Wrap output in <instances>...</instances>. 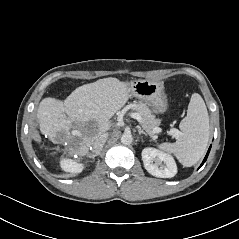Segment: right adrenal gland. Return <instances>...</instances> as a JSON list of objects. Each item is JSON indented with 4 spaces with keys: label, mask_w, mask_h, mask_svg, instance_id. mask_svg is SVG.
Instances as JSON below:
<instances>
[{
    "label": "right adrenal gland",
    "mask_w": 239,
    "mask_h": 239,
    "mask_svg": "<svg viewBox=\"0 0 239 239\" xmlns=\"http://www.w3.org/2000/svg\"><path fill=\"white\" fill-rule=\"evenodd\" d=\"M95 156H96V155H92V156H91V155H89V157H92V158H94Z\"/></svg>",
    "instance_id": "2a0ac1e0"
}]
</instances>
